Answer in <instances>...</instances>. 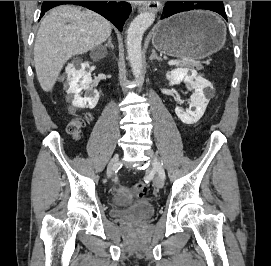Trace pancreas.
I'll return each instance as SVG.
<instances>
[{
  "mask_svg": "<svg viewBox=\"0 0 271 266\" xmlns=\"http://www.w3.org/2000/svg\"><path fill=\"white\" fill-rule=\"evenodd\" d=\"M178 65H180V66L188 65V66H190V67H192V68L195 67L197 70L203 69V66H202L201 64L194 63V62H192V61H182V62H180Z\"/></svg>",
  "mask_w": 271,
  "mask_h": 266,
  "instance_id": "1",
  "label": "pancreas"
}]
</instances>
